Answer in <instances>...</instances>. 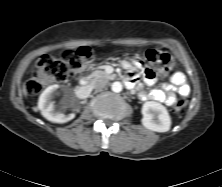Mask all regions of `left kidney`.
Wrapping results in <instances>:
<instances>
[{
    "instance_id": "5707ae66",
    "label": "left kidney",
    "mask_w": 222,
    "mask_h": 187,
    "mask_svg": "<svg viewBox=\"0 0 222 187\" xmlns=\"http://www.w3.org/2000/svg\"><path fill=\"white\" fill-rule=\"evenodd\" d=\"M141 120L143 126L155 132H167L171 126L170 115L162 104L155 101H147L142 106Z\"/></svg>"
}]
</instances>
